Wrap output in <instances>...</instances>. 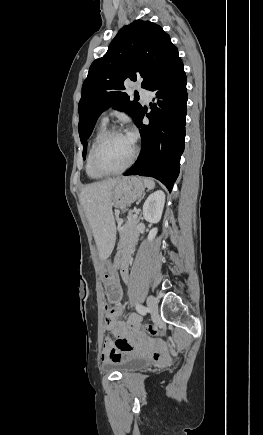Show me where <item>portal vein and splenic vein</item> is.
Returning <instances> with one entry per match:
<instances>
[{
    "instance_id": "18ae733b",
    "label": "portal vein and splenic vein",
    "mask_w": 263,
    "mask_h": 435,
    "mask_svg": "<svg viewBox=\"0 0 263 435\" xmlns=\"http://www.w3.org/2000/svg\"><path fill=\"white\" fill-rule=\"evenodd\" d=\"M133 217H134V218H136V217H137V215H136V214H134V215H133Z\"/></svg>"
}]
</instances>
